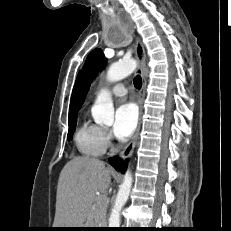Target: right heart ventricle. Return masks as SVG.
Segmentation results:
<instances>
[{"mask_svg":"<svg viewBox=\"0 0 231 231\" xmlns=\"http://www.w3.org/2000/svg\"><path fill=\"white\" fill-rule=\"evenodd\" d=\"M74 140L78 151L88 157L101 156L107 147L103 129L88 119H84L77 128Z\"/></svg>","mask_w":231,"mask_h":231,"instance_id":"obj_1","label":"right heart ventricle"}]
</instances>
